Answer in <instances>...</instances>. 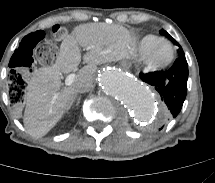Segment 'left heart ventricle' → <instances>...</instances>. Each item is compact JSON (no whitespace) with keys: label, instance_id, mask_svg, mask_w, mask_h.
I'll return each instance as SVG.
<instances>
[{"label":"left heart ventricle","instance_id":"1","mask_svg":"<svg viewBox=\"0 0 215 183\" xmlns=\"http://www.w3.org/2000/svg\"><path fill=\"white\" fill-rule=\"evenodd\" d=\"M169 53V47L167 45H161L156 52L158 58L166 57Z\"/></svg>","mask_w":215,"mask_h":183}]
</instances>
